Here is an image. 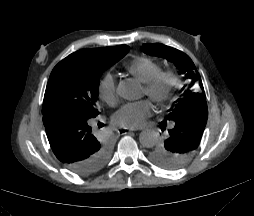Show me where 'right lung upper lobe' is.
<instances>
[{
    "mask_svg": "<svg viewBox=\"0 0 254 216\" xmlns=\"http://www.w3.org/2000/svg\"><path fill=\"white\" fill-rule=\"evenodd\" d=\"M83 50H92L99 51L114 57H119L120 59L129 51L127 45H119L115 47H106V48H97V49H83Z\"/></svg>",
    "mask_w": 254,
    "mask_h": 216,
    "instance_id": "cb5924a9",
    "label": "right lung upper lobe"
}]
</instances>
